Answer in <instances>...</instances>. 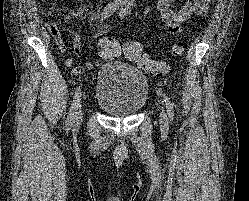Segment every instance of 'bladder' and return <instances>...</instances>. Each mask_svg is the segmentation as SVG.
Wrapping results in <instances>:
<instances>
[{"instance_id":"bladder-1","label":"bladder","mask_w":249,"mask_h":201,"mask_svg":"<svg viewBox=\"0 0 249 201\" xmlns=\"http://www.w3.org/2000/svg\"><path fill=\"white\" fill-rule=\"evenodd\" d=\"M96 104L109 116L123 118L138 113L147 103L146 75L119 60L104 62L95 81Z\"/></svg>"}]
</instances>
